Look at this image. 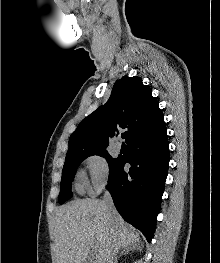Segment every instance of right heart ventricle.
Here are the masks:
<instances>
[{
    "label": "right heart ventricle",
    "instance_id": "e07e8e85",
    "mask_svg": "<svg viewBox=\"0 0 220 263\" xmlns=\"http://www.w3.org/2000/svg\"><path fill=\"white\" fill-rule=\"evenodd\" d=\"M75 187L77 191L82 192L83 189L85 188V180L83 179L82 176H78L76 179Z\"/></svg>",
    "mask_w": 220,
    "mask_h": 263
}]
</instances>
